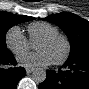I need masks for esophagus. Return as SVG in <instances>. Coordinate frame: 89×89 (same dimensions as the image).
Wrapping results in <instances>:
<instances>
[{
    "label": "esophagus",
    "mask_w": 89,
    "mask_h": 89,
    "mask_svg": "<svg viewBox=\"0 0 89 89\" xmlns=\"http://www.w3.org/2000/svg\"><path fill=\"white\" fill-rule=\"evenodd\" d=\"M34 71V68H26L27 74H30Z\"/></svg>",
    "instance_id": "34e87169"
}]
</instances>
